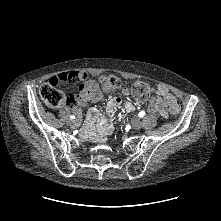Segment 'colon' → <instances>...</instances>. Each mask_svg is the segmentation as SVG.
Segmentation results:
<instances>
[{
	"label": "colon",
	"instance_id": "colon-1",
	"mask_svg": "<svg viewBox=\"0 0 221 221\" xmlns=\"http://www.w3.org/2000/svg\"><path fill=\"white\" fill-rule=\"evenodd\" d=\"M121 81L114 75H108L101 81V90L110 92L120 87ZM151 89L145 82L137 81L131 86L133 97L139 101H146L150 96ZM40 96L44 103L51 108H58L63 105H73L76 103V96L72 93L63 92L58 87L49 86L48 82L40 87ZM166 103L169 110L177 114L180 110L179 104L174 97H167Z\"/></svg>",
	"mask_w": 221,
	"mask_h": 221
}]
</instances>
